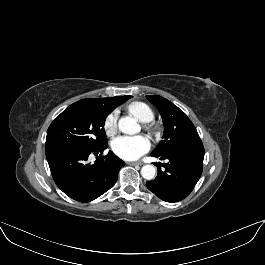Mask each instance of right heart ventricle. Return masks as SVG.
Masks as SVG:
<instances>
[{"label": "right heart ventricle", "instance_id": "e07e8e85", "mask_svg": "<svg viewBox=\"0 0 265 265\" xmlns=\"http://www.w3.org/2000/svg\"><path fill=\"white\" fill-rule=\"evenodd\" d=\"M127 110L143 123L151 122L154 119L153 109L145 102L134 101L127 106Z\"/></svg>", "mask_w": 265, "mask_h": 265}]
</instances>
